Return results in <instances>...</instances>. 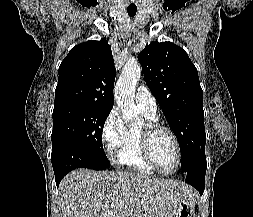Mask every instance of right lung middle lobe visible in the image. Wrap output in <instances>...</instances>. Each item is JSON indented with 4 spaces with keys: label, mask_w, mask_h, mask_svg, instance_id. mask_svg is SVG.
I'll return each mask as SVG.
<instances>
[{
    "label": "right lung middle lobe",
    "mask_w": 253,
    "mask_h": 217,
    "mask_svg": "<svg viewBox=\"0 0 253 217\" xmlns=\"http://www.w3.org/2000/svg\"><path fill=\"white\" fill-rule=\"evenodd\" d=\"M112 108L84 103L54 105L52 153L66 147L82 148L99 166L109 168L102 145L104 123Z\"/></svg>",
    "instance_id": "1"
}]
</instances>
